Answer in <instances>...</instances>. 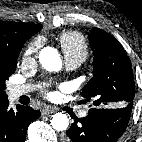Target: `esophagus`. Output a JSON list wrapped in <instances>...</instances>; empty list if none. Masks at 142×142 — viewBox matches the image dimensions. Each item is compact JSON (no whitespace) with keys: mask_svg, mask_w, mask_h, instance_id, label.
I'll use <instances>...</instances> for the list:
<instances>
[{"mask_svg":"<svg viewBox=\"0 0 142 142\" xmlns=\"http://www.w3.org/2000/svg\"><path fill=\"white\" fill-rule=\"evenodd\" d=\"M56 111V108H53L51 106H46L41 110L42 115H49Z\"/></svg>","mask_w":142,"mask_h":142,"instance_id":"1","label":"esophagus"}]
</instances>
